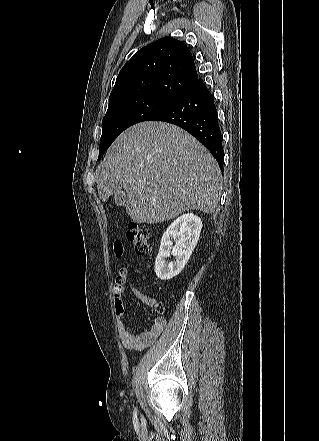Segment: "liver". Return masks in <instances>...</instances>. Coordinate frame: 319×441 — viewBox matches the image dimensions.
Returning a JSON list of instances; mask_svg holds the SVG:
<instances>
[{
	"label": "liver",
	"mask_w": 319,
	"mask_h": 441,
	"mask_svg": "<svg viewBox=\"0 0 319 441\" xmlns=\"http://www.w3.org/2000/svg\"><path fill=\"white\" fill-rule=\"evenodd\" d=\"M222 175L211 153L178 126L145 121L114 141L97 181L106 202L124 189L126 212L137 223L173 219L187 210L215 211Z\"/></svg>",
	"instance_id": "obj_1"
}]
</instances>
